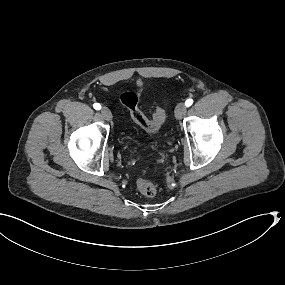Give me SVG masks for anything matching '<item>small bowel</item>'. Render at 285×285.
Segmentation results:
<instances>
[{"instance_id": "obj_1", "label": "small bowel", "mask_w": 285, "mask_h": 285, "mask_svg": "<svg viewBox=\"0 0 285 285\" xmlns=\"http://www.w3.org/2000/svg\"><path fill=\"white\" fill-rule=\"evenodd\" d=\"M142 91V87L141 86H139V88H138V92H141Z\"/></svg>"}]
</instances>
